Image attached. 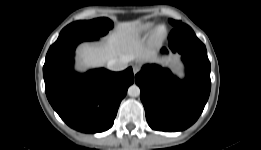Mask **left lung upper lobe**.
I'll list each match as a JSON object with an SVG mask.
<instances>
[{"instance_id":"obj_1","label":"left lung upper lobe","mask_w":261,"mask_h":150,"mask_svg":"<svg viewBox=\"0 0 261 150\" xmlns=\"http://www.w3.org/2000/svg\"><path fill=\"white\" fill-rule=\"evenodd\" d=\"M169 22H170L171 25H173L174 27L183 24L181 21H176V20H172V19H170Z\"/></svg>"}]
</instances>
